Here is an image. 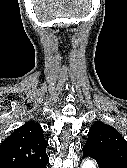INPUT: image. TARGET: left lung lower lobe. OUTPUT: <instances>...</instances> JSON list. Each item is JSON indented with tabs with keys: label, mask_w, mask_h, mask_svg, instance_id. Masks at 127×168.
<instances>
[{
	"label": "left lung lower lobe",
	"mask_w": 127,
	"mask_h": 168,
	"mask_svg": "<svg viewBox=\"0 0 127 168\" xmlns=\"http://www.w3.org/2000/svg\"><path fill=\"white\" fill-rule=\"evenodd\" d=\"M84 157H91L99 168H123L110 150L98 144L85 145L82 149Z\"/></svg>",
	"instance_id": "0a47b994"
}]
</instances>
